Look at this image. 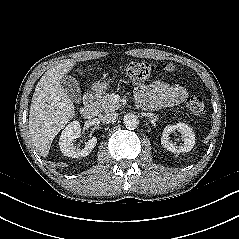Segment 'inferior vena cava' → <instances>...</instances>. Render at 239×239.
I'll return each mask as SVG.
<instances>
[{
  "mask_svg": "<svg viewBox=\"0 0 239 239\" xmlns=\"http://www.w3.org/2000/svg\"><path fill=\"white\" fill-rule=\"evenodd\" d=\"M118 115L114 112H107L104 114H101L99 116V119L103 122V123H112L117 119Z\"/></svg>",
  "mask_w": 239,
  "mask_h": 239,
  "instance_id": "obj_1",
  "label": "inferior vena cava"
}]
</instances>
